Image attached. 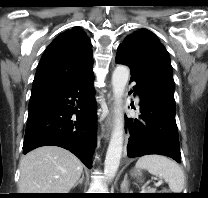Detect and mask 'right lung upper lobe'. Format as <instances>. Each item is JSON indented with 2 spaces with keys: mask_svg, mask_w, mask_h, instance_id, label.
<instances>
[{
  "mask_svg": "<svg viewBox=\"0 0 208 198\" xmlns=\"http://www.w3.org/2000/svg\"><path fill=\"white\" fill-rule=\"evenodd\" d=\"M90 39L80 27L58 35L45 50L34 78L31 97L66 88L92 72Z\"/></svg>",
  "mask_w": 208,
  "mask_h": 198,
  "instance_id": "cb5924a9",
  "label": "right lung upper lobe"
}]
</instances>
